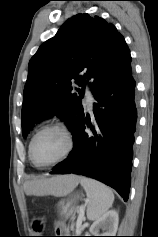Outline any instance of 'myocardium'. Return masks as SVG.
Returning <instances> with one entry per match:
<instances>
[{"mask_svg":"<svg viewBox=\"0 0 158 237\" xmlns=\"http://www.w3.org/2000/svg\"><path fill=\"white\" fill-rule=\"evenodd\" d=\"M51 129L59 130V131H61L65 135L66 140H67V147H66L65 151L63 152V154L60 157H58L57 159H55V160H53L51 162H48L46 164H39V163L36 162V160L33 157V145H34V142H35L36 138L42 132L47 131V130H51ZM73 148H74V136H73L72 131L70 130V128L66 124H64V123L53 122V123H49V124H46V125L42 126L32 136L30 144H29V151H28V153H29L30 161L32 162V164L35 167H37L39 169H46V168L54 166V165L60 163L61 161L65 160L71 154Z\"/></svg>","mask_w":158,"mask_h":237,"instance_id":"1","label":"myocardium"}]
</instances>
